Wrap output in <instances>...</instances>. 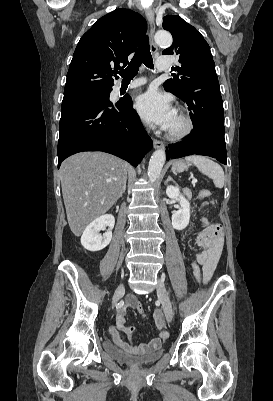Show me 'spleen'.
<instances>
[{
    "instance_id": "spleen-1",
    "label": "spleen",
    "mask_w": 273,
    "mask_h": 401,
    "mask_svg": "<svg viewBox=\"0 0 273 401\" xmlns=\"http://www.w3.org/2000/svg\"><path fill=\"white\" fill-rule=\"evenodd\" d=\"M185 160L194 162V164L198 166L200 172L207 174L209 178H213L215 186H218V188H222V186H224L225 174L220 164H217V162H214V160H210V158H206V156H198V154L186 156Z\"/></svg>"
}]
</instances>
